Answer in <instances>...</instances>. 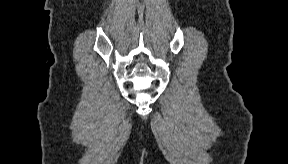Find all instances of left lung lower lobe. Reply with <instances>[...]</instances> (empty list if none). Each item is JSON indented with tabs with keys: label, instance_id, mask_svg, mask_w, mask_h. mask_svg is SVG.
Here are the masks:
<instances>
[{
	"label": "left lung lower lobe",
	"instance_id": "obj_1",
	"mask_svg": "<svg viewBox=\"0 0 288 164\" xmlns=\"http://www.w3.org/2000/svg\"><path fill=\"white\" fill-rule=\"evenodd\" d=\"M253 80L252 86L254 89H260L265 84V76L263 72L259 69H254L251 76L248 77Z\"/></svg>",
	"mask_w": 288,
	"mask_h": 164
}]
</instances>
